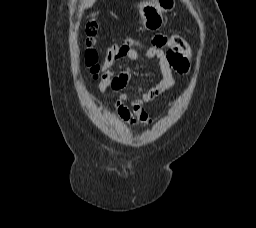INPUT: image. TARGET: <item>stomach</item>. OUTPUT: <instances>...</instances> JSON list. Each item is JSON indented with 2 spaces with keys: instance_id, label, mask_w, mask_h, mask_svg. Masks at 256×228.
Here are the masks:
<instances>
[{
  "instance_id": "obj_1",
  "label": "stomach",
  "mask_w": 256,
  "mask_h": 228,
  "mask_svg": "<svg viewBox=\"0 0 256 228\" xmlns=\"http://www.w3.org/2000/svg\"><path fill=\"white\" fill-rule=\"evenodd\" d=\"M175 8V0H154L140 9L141 22L147 30L160 29L163 24V13Z\"/></svg>"
}]
</instances>
